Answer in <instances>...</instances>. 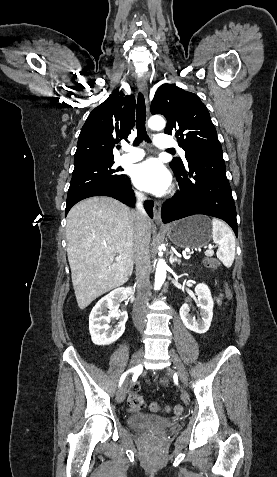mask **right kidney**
I'll list each match as a JSON object with an SVG mask.
<instances>
[{"mask_svg":"<svg viewBox=\"0 0 277 477\" xmlns=\"http://www.w3.org/2000/svg\"><path fill=\"white\" fill-rule=\"evenodd\" d=\"M126 297L134 301V289L132 287H120L111 291L101 298L93 307L89 316V331L91 339L96 345H110L118 340L125 331L127 312L118 311L119 303ZM108 311V315L104 313ZM111 319H120L114 329L108 325Z\"/></svg>","mask_w":277,"mask_h":477,"instance_id":"obj_1","label":"right kidney"}]
</instances>
